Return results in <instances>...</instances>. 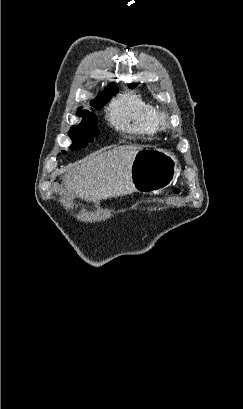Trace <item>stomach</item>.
<instances>
[{
  "instance_id": "0dacf381",
  "label": "stomach",
  "mask_w": 243,
  "mask_h": 409,
  "mask_svg": "<svg viewBox=\"0 0 243 409\" xmlns=\"http://www.w3.org/2000/svg\"><path fill=\"white\" fill-rule=\"evenodd\" d=\"M177 173V159L157 148H141L131 165L132 186L135 191L157 194L169 187Z\"/></svg>"
}]
</instances>
